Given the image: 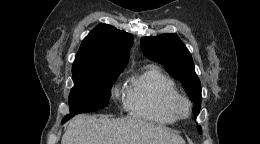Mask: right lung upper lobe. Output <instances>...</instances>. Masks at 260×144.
<instances>
[{
    "label": "right lung upper lobe",
    "mask_w": 260,
    "mask_h": 144,
    "mask_svg": "<svg viewBox=\"0 0 260 144\" xmlns=\"http://www.w3.org/2000/svg\"><path fill=\"white\" fill-rule=\"evenodd\" d=\"M133 36L104 23L84 38L72 66V74L123 70L129 59Z\"/></svg>",
    "instance_id": "right-lung-upper-lobe-1"
}]
</instances>
